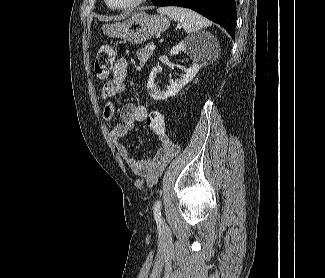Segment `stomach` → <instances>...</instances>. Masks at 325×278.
Returning <instances> with one entry per match:
<instances>
[{"label": "stomach", "instance_id": "1", "mask_svg": "<svg viewBox=\"0 0 325 278\" xmlns=\"http://www.w3.org/2000/svg\"><path fill=\"white\" fill-rule=\"evenodd\" d=\"M169 26V20L162 15L138 12L133 13L123 22L105 24L102 26V30L109 37L121 38L132 44H142L166 31Z\"/></svg>", "mask_w": 325, "mask_h": 278}]
</instances>
